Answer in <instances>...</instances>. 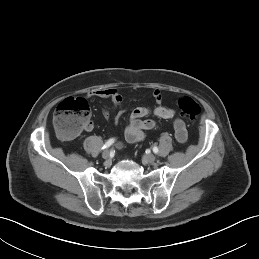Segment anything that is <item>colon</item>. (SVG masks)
<instances>
[{
  "mask_svg": "<svg viewBox=\"0 0 259 259\" xmlns=\"http://www.w3.org/2000/svg\"><path fill=\"white\" fill-rule=\"evenodd\" d=\"M180 113L190 121L200 114V106L191 97L182 96L177 101ZM91 123V110L83 98H67L56 108L53 125L56 132L66 139H73Z\"/></svg>",
  "mask_w": 259,
  "mask_h": 259,
  "instance_id": "obj_1",
  "label": "colon"
}]
</instances>
